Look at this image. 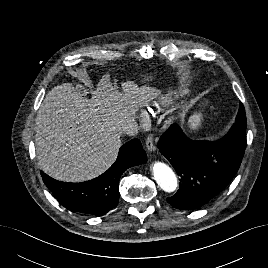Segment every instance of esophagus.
Returning <instances> with one entry per match:
<instances>
[{
  "label": "esophagus",
  "mask_w": 268,
  "mask_h": 268,
  "mask_svg": "<svg viewBox=\"0 0 268 268\" xmlns=\"http://www.w3.org/2000/svg\"><path fill=\"white\" fill-rule=\"evenodd\" d=\"M145 146L148 152H152L156 149L152 135H148L146 142H145Z\"/></svg>",
  "instance_id": "esophagus-1"
}]
</instances>
